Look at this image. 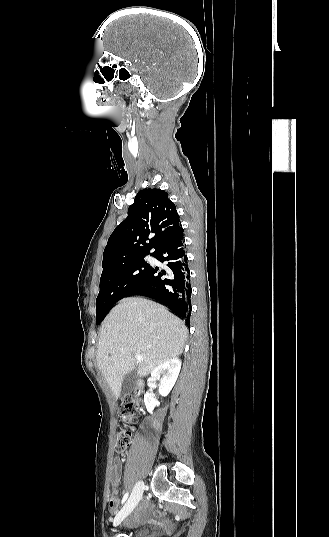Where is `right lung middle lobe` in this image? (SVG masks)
<instances>
[{"mask_svg":"<svg viewBox=\"0 0 329 537\" xmlns=\"http://www.w3.org/2000/svg\"><path fill=\"white\" fill-rule=\"evenodd\" d=\"M149 267L144 257H140L125 264L103 268L96 300V324L101 323L118 300L127 296Z\"/></svg>","mask_w":329,"mask_h":537,"instance_id":"obj_1","label":"right lung middle lobe"}]
</instances>
